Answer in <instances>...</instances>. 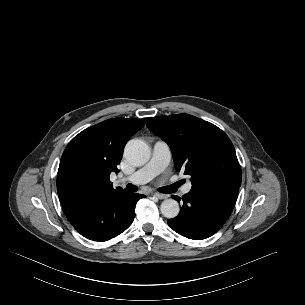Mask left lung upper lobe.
Returning a JSON list of instances; mask_svg holds the SVG:
<instances>
[{
  "mask_svg": "<svg viewBox=\"0 0 305 305\" xmlns=\"http://www.w3.org/2000/svg\"><path fill=\"white\" fill-rule=\"evenodd\" d=\"M146 125L169 145L177 171L191 176L192 189L240 187L234 146L217 126L188 114L149 117Z\"/></svg>",
  "mask_w": 305,
  "mask_h": 305,
  "instance_id": "left-lung-upper-lobe-1",
  "label": "left lung upper lobe"
}]
</instances>
